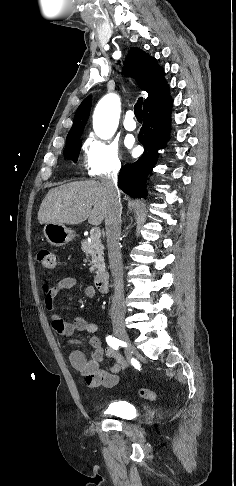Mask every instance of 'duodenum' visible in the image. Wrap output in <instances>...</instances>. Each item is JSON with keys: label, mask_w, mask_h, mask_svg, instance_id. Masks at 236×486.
I'll return each instance as SVG.
<instances>
[{"label": "duodenum", "mask_w": 236, "mask_h": 486, "mask_svg": "<svg viewBox=\"0 0 236 486\" xmlns=\"http://www.w3.org/2000/svg\"><path fill=\"white\" fill-rule=\"evenodd\" d=\"M94 284L100 292H106L108 288V273L100 271L95 275Z\"/></svg>", "instance_id": "duodenum-1"}]
</instances>
